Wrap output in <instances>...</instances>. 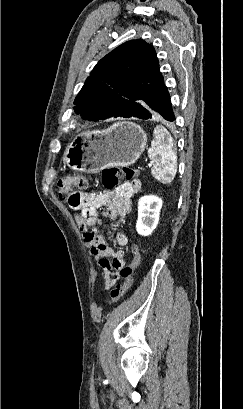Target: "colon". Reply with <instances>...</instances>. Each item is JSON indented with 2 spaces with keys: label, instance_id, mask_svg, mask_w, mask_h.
Segmentation results:
<instances>
[{
  "label": "colon",
  "instance_id": "colon-1",
  "mask_svg": "<svg viewBox=\"0 0 243 409\" xmlns=\"http://www.w3.org/2000/svg\"><path fill=\"white\" fill-rule=\"evenodd\" d=\"M138 175V172L130 167L108 166L102 172V183L105 188H115L122 179L133 180ZM87 182L82 175H72L65 177L58 182V196L60 200L65 201L70 207H77L80 199L74 188H86ZM134 258L132 262L124 266L120 270V276L123 279L122 284H118L112 289L108 305H114L118 300L125 295L131 288L133 283V273L140 263V253L137 245H133Z\"/></svg>",
  "mask_w": 243,
  "mask_h": 409
}]
</instances>
